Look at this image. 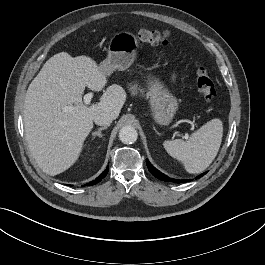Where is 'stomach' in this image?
Segmentation results:
<instances>
[{
    "instance_id": "stomach-1",
    "label": "stomach",
    "mask_w": 265,
    "mask_h": 265,
    "mask_svg": "<svg viewBox=\"0 0 265 265\" xmlns=\"http://www.w3.org/2000/svg\"><path fill=\"white\" fill-rule=\"evenodd\" d=\"M138 41L129 32L116 33L109 42L108 57L99 64V68L110 75L115 70L128 69L135 60ZM148 97L154 121L169 125L178 109V101L157 79L148 80Z\"/></svg>"
}]
</instances>
